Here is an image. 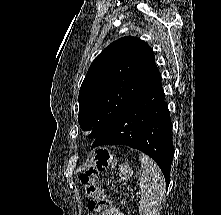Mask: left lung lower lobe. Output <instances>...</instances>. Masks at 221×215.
I'll list each match as a JSON object with an SVG mask.
<instances>
[{"instance_id": "obj_1", "label": "left lung lower lobe", "mask_w": 221, "mask_h": 215, "mask_svg": "<svg viewBox=\"0 0 221 215\" xmlns=\"http://www.w3.org/2000/svg\"><path fill=\"white\" fill-rule=\"evenodd\" d=\"M102 145H127L149 155L160 167L168 188L173 145L161 79L122 112L91 149Z\"/></svg>"}]
</instances>
